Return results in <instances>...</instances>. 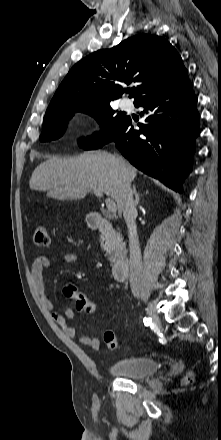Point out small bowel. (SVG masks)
Here are the masks:
<instances>
[{
  "label": "small bowel",
  "instance_id": "c3829d8e",
  "mask_svg": "<svg viewBox=\"0 0 221 440\" xmlns=\"http://www.w3.org/2000/svg\"><path fill=\"white\" fill-rule=\"evenodd\" d=\"M61 261L65 264L77 265L81 263V258L76 254L68 253L63 255ZM51 267L52 261L50 255L45 253L37 255L31 267V278L33 285L44 306L50 311L53 321L61 327L66 336L75 338L77 336V330L68 324V320L74 316V310L68 308L63 313H60L54 309L53 303L46 297L43 271ZM67 286H71L78 291V288L72 283H67L65 287ZM79 340L82 345L91 349H98L100 347V339L98 337L83 335L80 336Z\"/></svg>",
  "mask_w": 221,
  "mask_h": 440
}]
</instances>
